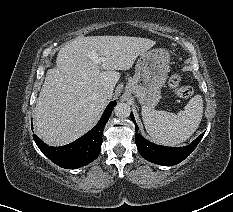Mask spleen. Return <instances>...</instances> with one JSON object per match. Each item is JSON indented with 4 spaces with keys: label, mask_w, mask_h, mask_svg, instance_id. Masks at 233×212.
<instances>
[{
    "label": "spleen",
    "mask_w": 233,
    "mask_h": 212,
    "mask_svg": "<svg viewBox=\"0 0 233 212\" xmlns=\"http://www.w3.org/2000/svg\"><path fill=\"white\" fill-rule=\"evenodd\" d=\"M203 115V99L196 95L178 114L167 111H155L142 106V119L150 137L163 145H177L198 129Z\"/></svg>",
    "instance_id": "spleen-1"
}]
</instances>
